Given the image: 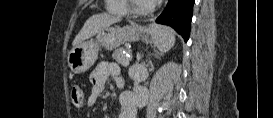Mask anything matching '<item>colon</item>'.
<instances>
[{"label":"colon","instance_id":"1","mask_svg":"<svg viewBox=\"0 0 273 118\" xmlns=\"http://www.w3.org/2000/svg\"><path fill=\"white\" fill-rule=\"evenodd\" d=\"M71 102L74 107L80 108L84 104V92L81 86L74 85L70 94Z\"/></svg>","mask_w":273,"mask_h":118}]
</instances>
